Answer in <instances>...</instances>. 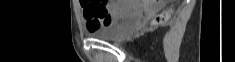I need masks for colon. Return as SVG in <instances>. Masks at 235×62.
Wrapping results in <instances>:
<instances>
[{"label":"colon","instance_id":"obj_1","mask_svg":"<svg viewBox=\"0 0 235 62\" xmlns=\"http://www.w3.org/2000/svg\"><path fill=\"white\" fill-rule=\"evenodd\" d=\"M83 5L85 6L86 9V15L89 17H95L96 20L98 21H105L107 24L111 18L109 19V12L106 8V6L101 3L100 1H82ZM169 17V12H163L161 14H159L156 18H155V23L159 24V23H163L165 22Z\"/></svg>","mask_w":235,"mask_h":62}]
</instances>
